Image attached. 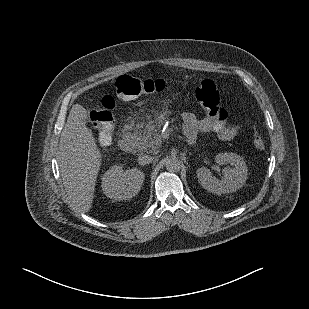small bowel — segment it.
<instances>
[{"label":"small bowel","instance_id":"c3829d8e","mask_svg":"<svg viewBox=\"0 0 309 309\" xmlns=\"http://www.w3.org/2000/svg\"><path fill=\"white\" fill-rule=\"evenodd\" d=\"M184 134L189 142H194L201 133L213 132L221 141L233 139L237 133L234 126L219 122L213 118H198L193 113L183 116Z\"/></svg>","mask_w":309,"mask_h":309}]
</instances>
